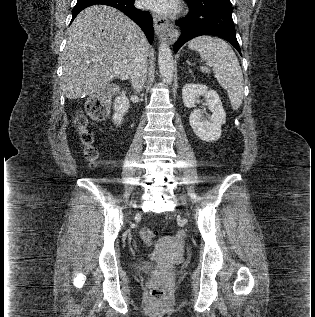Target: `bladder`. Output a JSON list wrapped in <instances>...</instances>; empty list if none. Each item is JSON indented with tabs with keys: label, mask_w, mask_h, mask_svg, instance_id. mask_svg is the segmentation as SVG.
I'll return each mask as SVG.
<instances>
[{
	"label": "bladder",
	"mask_w": 315,
	"mask_h": 317,
	"mask_svg": "<svg viewBox=\"0 0 315 317\" xmlns=\"http://www.w3.org/2000/svg\"><path fill=\"white\" fill-rule=\"evenodd\" d=\"M135 267L137 269H140V270L149 271V270L153 269L154 264L150 263V262H147V263H143V264H136Z\"/></svg>",
	"instance_id": "bladder-1"
}]
</instances>
